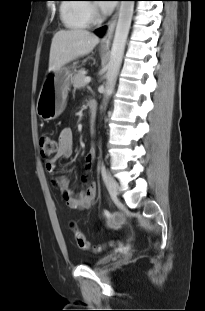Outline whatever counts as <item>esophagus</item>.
I'll return each instance as SVG.
<instances>
[{"mask_svg":"<svg viewBox=\"0 0 205 311\" xmlns=\"http://www.w3.org/2000/svg\"><path fill=\"white\" fill-rule=\"evenodd\" d=\"M118 16H119V6L116 8L115 13L113 14L111 19L107 23V30H106V33L101 40V46H103V47H109L110 46Z\"/></svg>","mask_w":205,"mask_h":311,"instance_id":"esophagus-1","label":"esophagus"}]
</instances>
